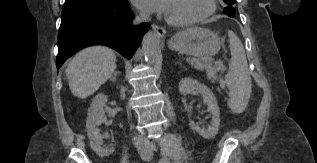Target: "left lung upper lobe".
Returning <instances> with one entry per match:
<instances>
[{"instance_id":"obj_1","label":"left lung upper lobe","mask_w":317,"mask_h":163,"mask_svg":"<svg viewBox=\"0 0 317 163\" xmlns=\"http://www.w3.org/2000/svg\"><path fill=\"white\" fill-rule=\"evenodd\" d=\"M223 1L228 5V7L224 8L223 12L226 13L228 16L233 17L235 11H234V8L231 6L235 3L236 0H223Z\"/></svg>"}]
</instances>
